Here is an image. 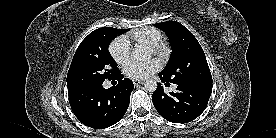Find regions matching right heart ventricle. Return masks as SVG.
I'll list each match as a JSON object with an SVG mask.
<instances>
[{"mask_svg":"<svg viewBox=\"0 0 276 138\" xmlns=\"http://www.w3.org/2000/svg\"><path fill=\"white\" fill-rule=\"evenodd\" d=\"M128 37L136 42H144L150 46L163 42L164 37L160 30L146 27L129 33Z\"/></svg>","mask_w":276,"mask_h":138,"instance_id":"e07e8e85","label":"right heart ventricle"}]
</instances>
